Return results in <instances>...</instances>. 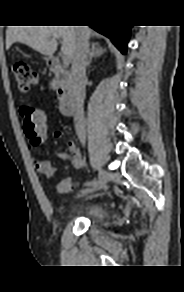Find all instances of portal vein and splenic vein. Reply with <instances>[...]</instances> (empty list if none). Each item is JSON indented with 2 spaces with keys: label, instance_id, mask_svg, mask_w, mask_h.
Returning <instances> with one entry per match:
<instances>
[{
  "label": "portal vein and splenic vein",
  "instance_id": "obj_1",
  "mask_svg": "<svg viewBox=\"0 0 184 292\" xmlns=\"http://www.w3.org/2000/svg\"><path fill=\"white\" fill-rule=\"evenodd\" d=\"M62 61L64 65H67L69 63V58L67 57V55L63 54Z\"/></svg>",
  "mask_w": 184,
  "mask_h": 292
}]
</instances>
